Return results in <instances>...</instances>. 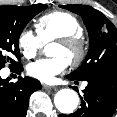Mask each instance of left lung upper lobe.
I'll return each instance as SVG.
<instances>
[{"mask_svg":"<svg viewBox=\"0 0 117 117\" xmlns=\"http://www.w3.org/2000/svg\"><path fill=\"white\" fill-rule=\"evenodd\" d=\"M80 15L89 32V51L85 62L69 74L75 80H86L99 72L117 69V29L100 11L87 5H60Z\"/></svg>","mask_w":117,"mask_h":117,"instance_id":"5c2ea615","label":"left lung upper lobe"}]
</instances>
